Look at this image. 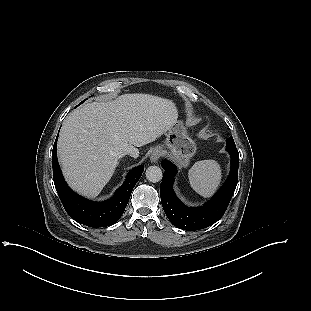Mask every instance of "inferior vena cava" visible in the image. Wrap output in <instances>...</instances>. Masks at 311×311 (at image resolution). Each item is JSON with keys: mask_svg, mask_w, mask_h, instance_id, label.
I'll return each instance as SVG.
<instances>
[{"mask_svg": "<svg viewBox=\"0 0 311 311\" xmlns=\"http://www.w3.org/2000/svg\"><path fill=\"white\" fill-rule=\"evenodd\" d=\"M123 153L125 156L130 157L137 153V148L135 146H127L124 148Z\"/></svg>", "mask_w": 311, "mask_h": 311, "instance_id": "602c4592", "label": "inferior vena cava"}]
</instances>
